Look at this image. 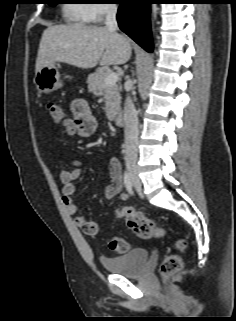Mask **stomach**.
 <instances>
[{
  "instance_id": "0dacf381",
  "label": "stomach",
  "mask_w": 236,
  "mask_h": 321,
  "mask_svg": "<svg viewBox=\"0 0 236 321\" xmlns=\"http://www.w3.org/2000/svg\"><path fill=\"white\" fill-rule=\"evenodd\" d=\"M34 84L41 93H50L63 86L60 79L59 65L51 64L44 66L35 73Z\"/></svg>"
}]
</instances>
